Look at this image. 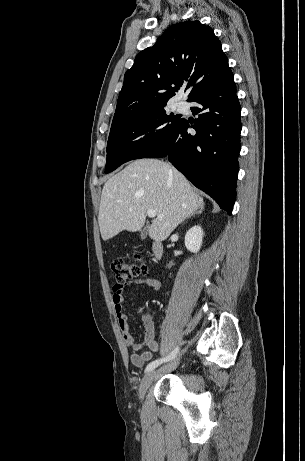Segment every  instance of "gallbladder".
<instances>
[{
    "label": "gallbladder",
    "instance_id": "gallbladder-1",
    "mask_svg": "<svg viewBox=\"0 0 305 461\" xmlns=\"http://www.w3.org/2000/svg\"><path fill=\"white\" fill-rule=\"evenodd\" d=\"M146 236H147V229L144 228V229L141 230L140 237H141V239L143 240V239L146 238Z\"/></svg>",
    "mask_w": 305,
    "mask_h": 461
}]
</instances>
